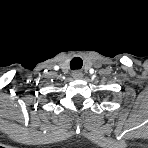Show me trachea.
<instances>
[{
    "instance_id": "1",
    "label": "trachea",
    "mask_w": 148,
    "mask_h": 148,
    "mask_svg": "<svg viewBox=\"0 0 148 148\" xmlns=\"http://www.w3.org/2000/svg\"><path fill=\"white\" fill-rule=\"evenodd\" d=\"M83 65V61L80 57H74L70 62V68L72 70L80 69Z\"/></svg>"
}]
</instances>
